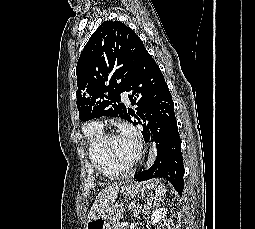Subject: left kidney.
Instances as JSON below:
<instances>
[{
	"instance_id": "5707ae66",
	"label": "left kidney",
	"mask_w": 255,
	"mask_h": 229,
	"mask_svg": "<svg viewBox=\"0 0 255 229\" xmlns=\"http://www.w3.org/2000/svg\"><path fill=\"white\" fill-rule=\"evenodd\" d=\"M167 214L166 208H156L151 215V221L152 224L155 225L156 223H159Z\"/></svg>"
}]
</instances>
